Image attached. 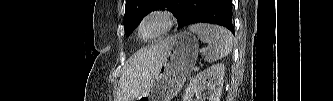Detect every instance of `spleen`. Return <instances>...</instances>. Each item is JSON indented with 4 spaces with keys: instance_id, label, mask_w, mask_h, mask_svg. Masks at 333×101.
Segmentation results:
<instances>
[{
    "instance_id": "obj_1",
    "label": "spleen",
    "mask_w": 333,
    "mask_h": 101,
    "mask_svg": "<svg viewBox=\"0 0 333 101\" xmlns=\"http://www.w3.org/2000/svg\"><path fill=\"white\" fill-rule=\"evenodd\" d=\"M189 30L197 34L202 42L207 43L209 51L205 55V61L208 63H213L224 58L232 50V35L224 27L198 23L191 25Z\"/></svg>"
}]
</instances>
